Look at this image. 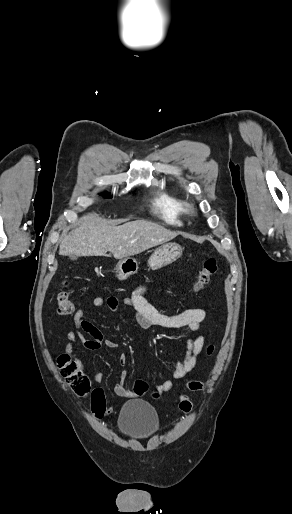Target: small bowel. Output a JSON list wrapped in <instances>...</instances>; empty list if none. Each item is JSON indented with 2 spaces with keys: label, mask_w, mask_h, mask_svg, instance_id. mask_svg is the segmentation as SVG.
<instances>
[{
  "label": "small bowel",
  "mask_w": 292,
  "mask_h": 514,
  "mask_svg": "<svg viewBox=\"0 0 292 514\" xmlns=\"http://www.w3.org/2000/svg\"><path fill=\"white\" fill-rule=\"evenodd\" d=\"M149 287L147 285H138L131 293V295L119 299L117 296L111 295L106 298L102 296H96L92 300V305L95 308H101L106 306L111 311H116L122 303L128 307L134 314L136 323L143 329H149L151 327H159L163 329H179L188 328L192 332L197 333L195 338L189 337L186 341V353L182 360L176 363L175 369L172 373V378L175 380L182 379L187 376L196 366L197 357L200 354L204 345V336L201 333V323L206 318V309L204 307L194 308L182 311L176 314H164L160 312L155 306H153L146 299V293ZM73 322L75 329L68 331L65 335L67 344L65 347L66 353L74 357L73 349L74 344L77 340H80L83 346L88 350H98L102 346L110 350L118 348V343L104 339L102 332L89 320L85 318L84 310L79 308L76 310ZM90 335V338H86L84 334ZM128 361V357L125 353H121L118 357V363L120 366H125ZM79 370H83V362L78 360L75 362ZM126 373H122L115 383L114 392L117 396L122 398L135 397V393L124 386L126 379ZM93 379L97 382L101 381L103 374L101 372H95L92 375ZM150 374H148V379ZM173 382L171 380H165L156 386L158 393H165L171 390ZM115 409L113 404L108 406V412L112 413Z\"/></svg>",
  "instance_id": "1"
}]
</instances>
